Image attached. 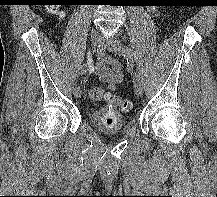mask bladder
I'll return each mask as SVG.
<instances>
[{"label":"bladder","instance_id":"31cf9c89","mask_svg":"<svg viewBox=\"0 0 217 197\" xmlns=\"http://www.w3.org/2000/svg\"><path fill=\"white\" fill-rule=\"evenodd\" d=\"M91 118L94 125L106 134L121 133L127 128L125 118L116 111L108 113L106 110H98Z\"/></svg>","mask_w":217,"mask_h":197}]
</instances>
